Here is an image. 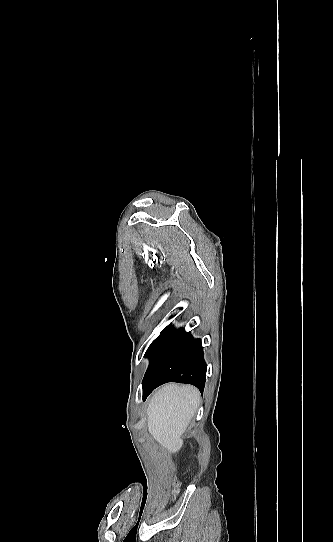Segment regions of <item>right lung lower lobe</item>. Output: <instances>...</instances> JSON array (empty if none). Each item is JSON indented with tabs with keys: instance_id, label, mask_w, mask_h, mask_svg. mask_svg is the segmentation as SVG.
<instances>
[{
	"instance_id": "obj_1",
	"label": "right lung lower lobe",
	"mask_w": 333,
	"mask_h": 542,
	"mask_svg": "<svg viewBox=\"0 0 333 542\" xmlns=\"http://www.w3.org/2000/svg\"><path fill=\"white\" fill-rule=\"evenodd\" d=\"M145 356L150 357V363L142 381L144 400L167 382L192 384L203 393L207 365L201 340L193 339L190 332L167 326Z\"/></svg>"
}]
</instances>
